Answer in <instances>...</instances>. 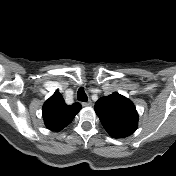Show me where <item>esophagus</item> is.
Segmentation results:
<instances>
[{
    "mask_svg": "<svg viewBox=\"0 0 176 176\" xmlns=\"http://www.w3.org/2000/svg\"><path fill=\"white\" fill-rule=\"evenodd\" d=\"M82 105H83L84 107L91 106V105H92V101L89 100V101L83 102Z\"/></svg>",
    "mask_w": 176,
    "mask_h": 176,
    "instance_id": "34e87169",
    "label": "esophagus"
}]
</instances>
